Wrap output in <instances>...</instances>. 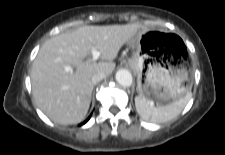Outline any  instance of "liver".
Returning <instances> with one entry per match:
<instances>
[{"mask_svg": "<svg viewBox=\"0 0 225 155\" xmlns=\"http://www.w3.org/2000/svg\"><path fill=\"white\" fill-rule=\"evenodd\" d=\"M140 30L147 29L138 24L83 26L47 40L33 62L30 75L39 109L59 124L81 122L91 102L92 76L112 73L119 50ZM91 49L101 52L102 61L92 60ZM67 67L72 70L66 71Z\"/></svg>", "mask_w": 225, "mask_h": 155, "instance_id": "1", "label": "liver"}]
</instances>
